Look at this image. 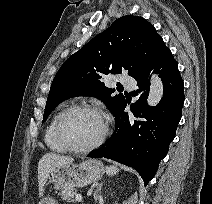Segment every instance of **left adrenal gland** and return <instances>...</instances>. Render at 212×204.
Masks as SVG:
<instances>
[{
    "label": "left adrenal gland",
    "mask_w": 212,
    "mask_h": 204,
    "mask_svg": "<svg viewBox=\"0 0 212 204\" xmlns=\"http://www.w3.org/2000/svg\"><path fill=\"white\" fill-rule=\"evenodd\" d=\"M102 186H103V183H101V184L97 187V189H96V191H95V199H96V200H99V199H100V193H101V188H102Z\"/></svg>",
    "instance_id": "obj_1"
}]
</instances>
